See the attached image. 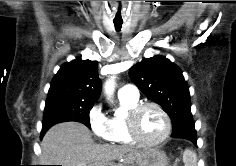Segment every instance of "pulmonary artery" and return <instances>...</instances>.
Returning <instances> with one entry per match:
<instances>
[{
  "instance_id": "e3ab8cb5",
  "label": "pulmonary artery",
  "mask_w": 236,
  "mask_h": 166,
  "mask_svg": "<svg viewBox=\"0 0 236 166\" xmlns=\"http://www.w3.org/2000/svg\"><path fill=\"white\" fill-rule=\"evenodd\" d=\"M118 96H119V98L138 100L139 99V91L135 85L128 84V85H125L119 89Z\"/></svg>"
}]
</instances>
